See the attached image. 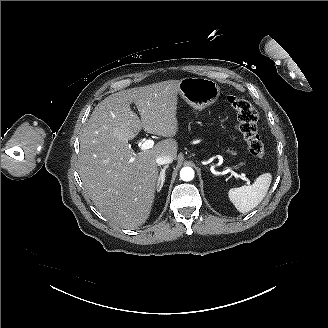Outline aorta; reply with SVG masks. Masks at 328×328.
Segmentation results:
<instances>
[{
    "label": "aorta",
    "instance_id": "762f6f07",
    "mask_svg": "<svg viewBox=\"0 0 328 328\" xmlns=\"http://www.w3.org/2000/svg\"><path fill=\"white\" fill-rule=\"evenodd\" d=\"M180 178L183 181H191L194 178V170L191 167H183L180 170Z\"/></svg>",
    "mask_w": 328,
    "mask_h": 328
}]
</instances>
